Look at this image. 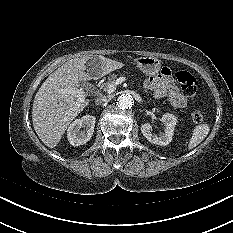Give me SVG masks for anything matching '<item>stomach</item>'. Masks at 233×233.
<instances>
[{"label":"stomach","mask_w":233,"mask_h":233,"mask_svg":"<svg viewBox=\"0 0 233 233\" xmlns=\"http://www.w3.org/2000/svg\"><path fill=\"white\" fill-rule=\"evenodd\" d=\"M136 62L140 70L146 75H154L161 68V63L156 57H140L136 60Z\"/></svg>","instance_id":"1"}]
</instances>
